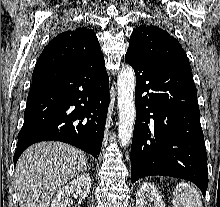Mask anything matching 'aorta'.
<instances>
[{
	"label": "aorta",
	"instance_id": "aorta-1",
	"mask_svg": "<svg viewBox=\"0 0 220 207\" xmlns=\"http://www.w3.org/2000/svg\"><path fill=\"white\" fill-rule=\"evenodd\" d=\"M118 138L120 146L126 147L133 136L136 108L134 101L135 73L132 67L126 66L118 75Z\"/></svg>",
	"mask_w": 220,
	"mask_h": 207
}]
</instances>
